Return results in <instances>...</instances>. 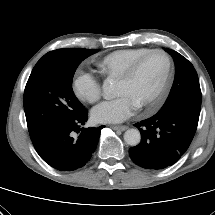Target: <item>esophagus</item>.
Wrapping results in <instances>:
<instances>
[{
	"instance_id": "esophagus-1",
	"label": "esophagus",
	"mask_w": 215,
	"mask_h": 215,
	"mask_svg": "<svg viewBox=\"0 0 215 215\" xmlns=\"http://www.w3.org/2000/svg\"><path fill=\"white\" fill-rule=\"evenodd\" d=\"M111 128L114 130L125 131L128 127L125 125H113Z\"/></svg>"
}]
</instances>
